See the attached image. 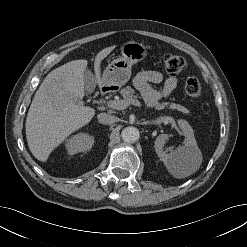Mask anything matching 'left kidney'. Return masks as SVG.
Masks as SVG:
<instances>
[{"label":"left kidney","mask_w":247,"mask_h":247,"mask_svg":"<svg viewBox=\"0 0 247 247\" xmlns=\"http://www.w3.org/2000/svg\"><path fill=\"white\" fill-rule=\"evenodd\" d=\"M179 128L181 131H179L180 134H182L185 137L184 145L179 146L176 148V150H172L169 154H167L165 151H163L164 144L166 141L171 137L170 134H161L159 135L155 140V151L160 158L161 161H163L166 165L169 163H174V161H179L185 159L190 160L196 158V156L199 155L200 150L197 145V141L194 136V131L192 127L189 125V123L185 120H179L178 121Z\"/></svg>","instance_id":"5707ae66"}]
</instances>
